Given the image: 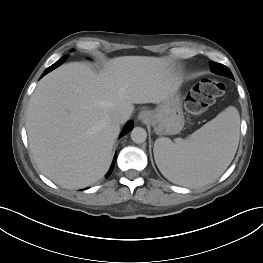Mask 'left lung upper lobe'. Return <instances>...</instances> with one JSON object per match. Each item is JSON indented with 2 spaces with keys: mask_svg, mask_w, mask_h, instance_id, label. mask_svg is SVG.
<instances>
[{
  "mask_svg": "<svg viewBox=\"0 0 263 263\" xmlns=\"http://www.w3.org/2000/svg\"><path fill=\"white\" fill-rule=\"evenodd\" d=\"M210 67L215 69L214 71L215 73L219 75H224V76H227L233 79V75L228 67L222 64L216 63V62H210Z\"/></svg>",
  "mask_w": 263,
  "mask_h": 263,
  "instance_id": "1",
  "label": "left lung upper lobe"
}]
</instances>
